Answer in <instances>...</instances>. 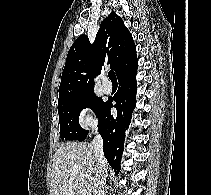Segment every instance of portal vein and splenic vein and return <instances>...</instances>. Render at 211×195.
Wrapping results in <instances>:
<instances>
[{"instance_id":"1","label":"portal vein and splenic vein","mask_w":211,"mask_h":195,"mask_svg":"<svg viewBox=\"0 0 211 195\" xmlns=\"http://www.w3.org/2000/svg\"><path fill=\"white\" fill-rule=\"evenodd\" d=\"M82 195H86V191H82Z\"/></svg>"}]
</instances>
